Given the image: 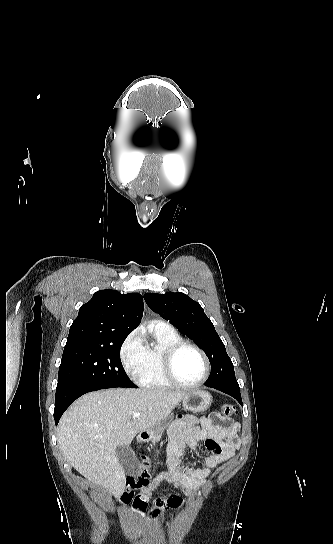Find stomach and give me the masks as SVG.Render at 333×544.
Instances as JSON below:
<instances>
[{"label": "stomach", "instance_id": "obj_1", "mask_svg": "<svg viewBox=\"0 0 333 544\" xmlns=\"http://www.w3.org/2000/svg\"><path fill=\"white\" fill-rule=\"evenodd\" d=\"M212 403L211 395L203 390H195L188 392L185 397L182 399V405L184 410L190 412H203L207 410ZM170 422L164 421L159 423L156 427L148 429L145 431L147 437H151L157 433L162 432L165 428L168 427Z\"/></svg>", "mask_w": 333, "mask_h": 544}]
</instances>
